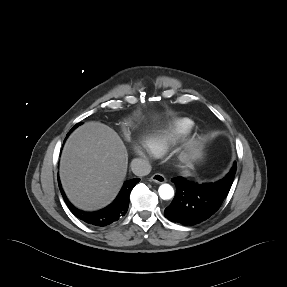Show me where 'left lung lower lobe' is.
Segmentation results:
<instances>
[{
    "instance_id": "1",
    "label": "left lung lower lobe",
    "mask_w": 287,
    "mask_h": 287,
    "mask_svg": "<svg viewBox=\"0 0 287 287\" xmlns=\"http://www.w3.org/2000/svg\"><path fill=\"white\" fill-rule=\"evenodd\" d=\"M235 173L236 163L228 175L216 183L197 184L183 177L173 178L177 192L164 211L165 217L183 225H194L208 219L227 197Z\"/></svg>"
}]
</instances>
